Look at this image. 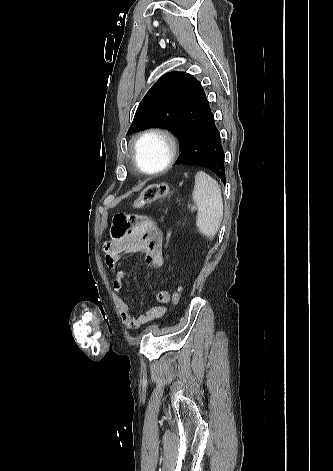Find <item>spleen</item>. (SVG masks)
<instances>
[{"instance_id": "3e777b00", "label": "spleen", "mask_w": 333, "mask_h": 471, "mask_svg": "<svg viewBox=\"0 0 333 471\" xmlns=\"http://www.w3.org/2000/svg\"><path fill=\"white\" fill-rule=\"evenodd\" d=\"M192 197L198 206V230L204 236L214 238L223 218V200L218 182L207 173L198 171Z\"/></svg>"}]
</instances>
